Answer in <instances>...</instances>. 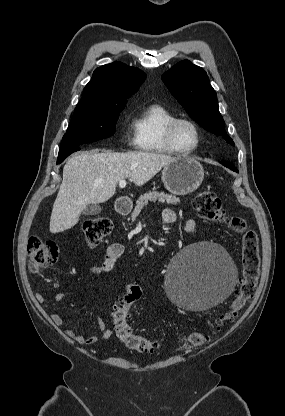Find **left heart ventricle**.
<instances>
[{
    "label": "left heart ventricle",
    "instance_id": "obj_1",
    "mask_svg": "<svg viewBox=\"0 0 285 416\" xmlns=\"http://www.w3.org/2000/svg\"><path fill=\"white\" fill-rule=\"evenodd\" d=\"M174 141L178 148L189 150L196 145L197 139L191 125L181 122L174 130Z\"/></svg>",
    "mask_w": 285,
    "mask_h": 416
}]
</instances>
